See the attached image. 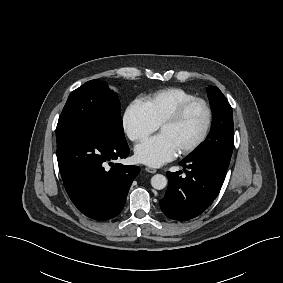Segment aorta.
<instances>
[{
    "label": "aorta",
    "mask_w": 283,
    "mask_h": 283,
    "mask_svg": "<svg viewBox=\"0 0 283 283\" xmlns=\"http://www.w3.org/2000/svg\"><path fill=\"white\" fill-rule=\"evenodd\" d=\"M167 178L162 174H156L151 178V185L154 189L162 190L167 186Z\"/></svg>",
    "instance_id": "1"
}]
</instances>
